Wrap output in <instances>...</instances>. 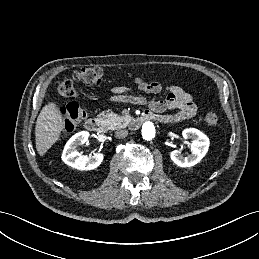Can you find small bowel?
Returning a JSON list of instances; mask_svg holds the SVG:
<instances>
[{
  "label": "small bowel",
  "instance_id": "small-bowel-1",
  "mask_svg": "<svg viewBox=\"0 0 259 259\" xmlns=\"http://www.w3.org/2000/svg\"><path fill=\"white\" fill-rule=\"evenodd\" d=\"M139 90L147 94H157L162 90V85L158 81L146 82L140 78L135 80ZM167 97L164 100L152 99L128 93L125 87L113 89L111 102L147 105L150 113L156 116L157 121L162 123H174L184 119L192 118L197 113V106L193 97L177 85L167 87ZM167 109H177L173 115L164 114Z\"/></svg>",
  "mask_w": 259,
  "mask_h": 259
}]
</instances>
